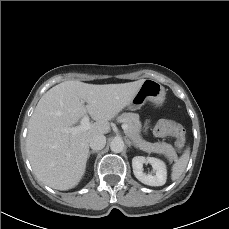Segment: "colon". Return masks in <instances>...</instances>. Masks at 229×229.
I'll list each match as a JSON object with an SVG mask.
<instances>
[{"mask_svg":"<svg viewBox=\"0 0 229 229\" xmlns=\"http://www.w3.org/2000/svg\"><path fill=\"white\" fill-rule=\"evenodd\" d=\"M155 133L163 137H174L179 148H183L185 146L186 133L184 128L170 119L159 120L155 126Z\"/></svg>","mask_w":229,"mask_h":229,"instance_id":"5ec220e1","label":"colon"}]
</instances>
